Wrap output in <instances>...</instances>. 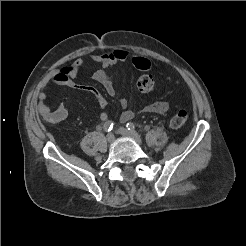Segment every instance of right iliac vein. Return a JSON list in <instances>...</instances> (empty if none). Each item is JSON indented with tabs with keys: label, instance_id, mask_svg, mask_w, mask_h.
Returning <instances> with one entry per match:
<instances>
[{
	"label": "right iliac vein",
	"instance_id": "right-iliac-vein-1",
	"mask_svg": "<svg viewBox=\"0 0 246 246\" xmlns=\"http://www.w3.org/2000/svg\"><path fill=\"white\" fill-rule=\"evenodd\" d=\"M114 140H115L114 134H113V133H109V134L107 135V141H108L109 143H113Z\"/></svg>",
	"mask_w": 246,
	"mask_h": 246
}]
</instances>
